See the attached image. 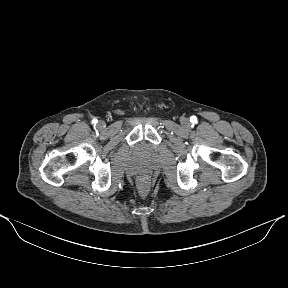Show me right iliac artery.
I'll list each match as a JSON object with an SVG mask.
<instances>
[{
    "label": "right iliac artery",
    "instance_id": "right-iliac-artery-1",
    "mask_svg": "<svg viewBox=\"0 0 288 288\" xmlns=\"http://www.w3.org/2000/svg\"><path fill=\"white\" fill-rule=\"evenodd\" d=\"M96 123H97V119H93V120H92V124L95 125Z\"/></svg>",
    "mask_w": 288,
    "mask_h": 288
}]
</instances>
